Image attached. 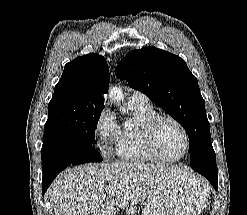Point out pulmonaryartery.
<instances>
[{"instance_id":"1","label":"pulmonary artery","mask_w":247,"mask_h":215,"mask_svg":"<svg viewBox=\"0 0 247 215\" xmlns=\"http://www.w3.org/2000/svg\"><path fill=\"white\" fill-rule=\"evenodd\" d=\"M129 102L139 106H150L149 98L139 91H132Z\"/></svg>"}]
</instances>
